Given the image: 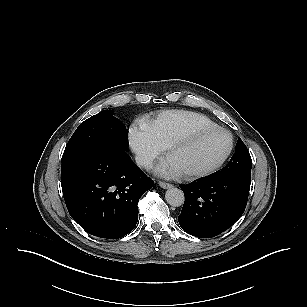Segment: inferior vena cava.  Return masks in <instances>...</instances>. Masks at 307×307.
Returning <instances> with one entry per match:
<instances>
[{
	"label": "inferior vena cava",
	"instance_id": "obj_1",
	"mask_svg": "<svg viewBox=\"0 0 307 307\" xmlns=\"http://www.w3.org/2000/svg\"><path fill=\"white\" fill-rule=\"evenodd\" d=\"M136 163L145 168V169H151L152 168V161L151 159L144 157V156H136L135 157Z\"/></svg>",
	"mask_w": 307,
	"mask_h": 307
}]
</instances>
